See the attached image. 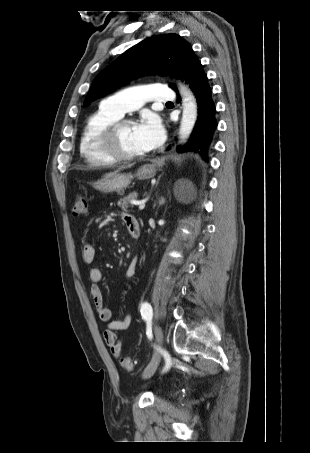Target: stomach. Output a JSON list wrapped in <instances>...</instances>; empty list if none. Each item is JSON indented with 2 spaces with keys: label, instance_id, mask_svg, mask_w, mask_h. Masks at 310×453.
I'll use <instances>...</instances> for the list:
<instances>
[{
  "label": "stomach",
  "instance_id": "1",
  "mask_svg": "<svg viewBox=\"0 0 310 453\" xmlns=\"http://www.w3.org/2000/svg\"><path fill=\"white\" fill-rule=\"evenodd\" d=\"M155 174L156 164H145L137 170L135 177L144 180L154 177ZM132 179V175L115 173L112 176L97 181L95 183V188L102 192H117L127 188Z\"/></svg>",
  "mask_w": 310,
  "mask_h": 453
}]
</instances>
